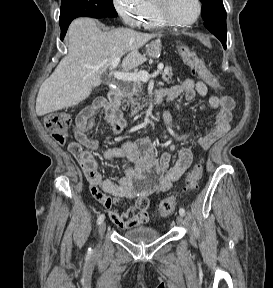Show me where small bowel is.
I'll return each mask as SVG.
<instances>
[{"label":"small bowel","mask_w":273,"mask_h":288,"mask_svg":"<svg viewBox=\"0 0 273 288\" xmlns=\"http://www.w3.org/2000/svg\"><path fill=\"white\" fill-rule=\"evenodd\" d=\"M163 91L169 101L181 95H184L187 101L194 100L197 94L208 97L209 106L215 110V122L210 132L196 137L201 148L208 149L230 130L235 108L234 100L225 95L208 96V88L204 81L189 78ZM102 109H105V122L116 134L126 127L127 122L120 115H111L104 101H96L77 115L73 128L75 140L69 144L68 149L81 165L92 195L109 211L111 221L121 228L143 226L149 221L147 212L149 197L167 192L182 177L192 162L191 149L189 147L180 149L175 163L171 166L169 155L165 154L160 158L155 156L148 139L126 141L119 147L107 149L104 158H125L132 165L125 170L124 176L118 183L104 179L93 155L97 149V142L87 136L94 118ZM165 123L176 141L186 142L194 136V131L179 133L168 113H166ZM115 199L135 200L134 209L118 212L114 208Z\"/></svg>","instance_id":"1"}]
</instances>
